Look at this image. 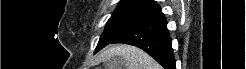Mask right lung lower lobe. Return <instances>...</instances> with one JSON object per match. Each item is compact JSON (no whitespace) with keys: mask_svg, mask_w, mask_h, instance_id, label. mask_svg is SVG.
I'll return each mask as SVG.
<instances>
[{"mask_svg":"<svg viewBox=\"0 0 246 69\" xmlns=\"http://www.w3.org/2000/svg\"><path fill=\"white\" fill-rule=\"evenodd\" d=\"M142 17L140 23L119 35L110 44L125 43L137 46L165 69H175L171 38L161 8L151 10Z\"/></svg>","mask_w":246,"mask_h":69,"instance_id":"98d812e1","label":"right lung lower lobe"}]
</instances>
